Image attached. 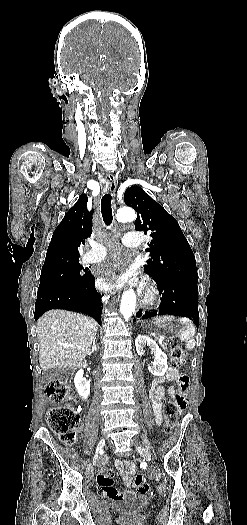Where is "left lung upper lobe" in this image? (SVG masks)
Segmentation results:
<instances>
[{
	"instance_id": "obj_1",
	"label": "left lung upper lobe",
	"mask_w": 247,
	"mask_h": 525,
	"mask_svg": "<svg viewBox=\"0 0 247 525\" xmlns=\"http://www.w3.org/2000/svg\"><path fill=\"white\" fill-rule=\"evenodd\" d=\"M124 200L137 212L135 229L152 237L146 273L157 282L197 284L195 257L176 219L138 186L128 188Z\"/></svg>"
}]
</instances>
